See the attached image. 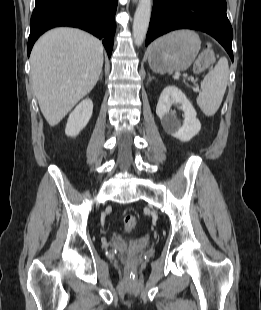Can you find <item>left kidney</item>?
I'll use <instances>...</instances> for the list:
<instances>
[{
  "mask_svg": "<svg viewBox=\"0 0 261 310\" xmlns=\"http://www.w3.org/2000/svg\"><path fill=\"white\" fill-rule=\"evenodd\" d=\"M181 104L184 111V122L181 126L178 119L170 113L171 105ZM156 114L160 118L163 128L173 137L182 142L190 141L200 129V121L196 118V111L185 94L177 87L170 85L163 89L156 107Z\"/></svg>",
  "mask_w": 261,
  "mask_h": 310,
  "instance_id": "obj_1",
  "label": "left kidney"
}]
</instances>
